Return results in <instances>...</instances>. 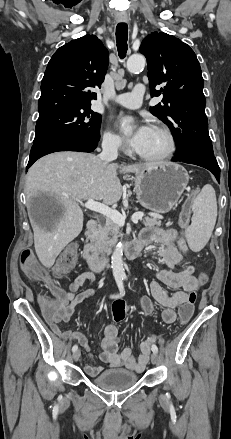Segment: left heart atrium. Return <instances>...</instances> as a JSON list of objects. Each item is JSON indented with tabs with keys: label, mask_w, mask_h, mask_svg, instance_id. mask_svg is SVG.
<instances>
[{
	"label": "left heart atrium",
	"mask_w": 231,
	"mask_h": 439,
	"mask_svg": "<svg viewBox=\"0 0 231 439\" xmlns=\"http://www.w3.org/2000/svg\"><path fill=\"white\" fill-rule=\"evenodd\" d=\"M118 126L128 144L136 151L139 150L151 130V127L147 125L137 124L131 116L120 117Z\"/></svg>",
	"instance_id": "1"
}]
</instances>
